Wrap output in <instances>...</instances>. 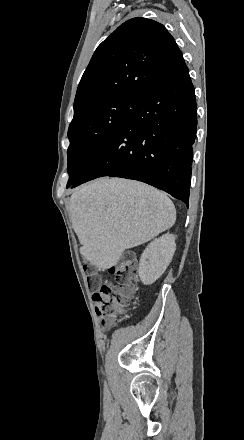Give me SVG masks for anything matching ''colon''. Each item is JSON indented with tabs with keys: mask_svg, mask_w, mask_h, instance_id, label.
<instances>
[{
	"mask_svg": "<svg viewBox=\"0 0 244 440\" xmlns=\"http://www.w3.org/2000/svg\"><path fill=\"white\" fill-rule=\"evenodd\" d=\"M122 254L124 258L112 268L113 274L118 278V287H114L107 280L101 282L100 275H93L96 269L95 262L83 264V269L87 273L86 282L90 284L91 290L96 291L93 295L96 310L101 311L109 322L121 318L128 312L126 305L133 297L131 281L137 275L138 264L132 257L131 248H124Z\"/></svg>",
	"mask_w": 244,
	"mask_h": 440,
	"instance_id": "1",
	"label": "colon"
}]
</instances>
